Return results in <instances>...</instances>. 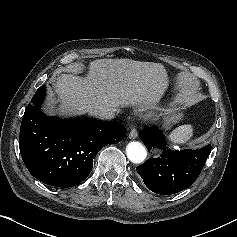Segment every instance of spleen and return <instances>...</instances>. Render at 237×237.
<instances>
[{
    "label": "spleen",
    "instance_id": "3e777b00",
    "mask_svg": "<svg viewBox=\"0 0 237 237\" xmlns=\"http://www.w3.org/2000/svg\"><path fill=\"white\" fill-rule=\"evenodd\" d=\"M193 127L192 125L185 124L174 129L168 136V140L172 146L184 145L191 139L193 136Z\"/></svg>",
    "mask_w": 237,
    "mask_h": 237
}]
</instances>
